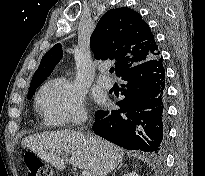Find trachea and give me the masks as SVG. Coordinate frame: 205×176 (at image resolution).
Segmentation results:
<instances>
[{
  "instance_id": "obj_1",
  "label": "trachea",
  "mask_w": 205,
  "mask_h": 176,
  "mask_svg": "<svg viewBox=\"0 0 205 176\" xmlns=\"http://www.w3.org/2000/svg\"><path fill=\"white\" fill-rule=\"evenodd\" d=\"M114 70H115L114 67H111V68H110V73H113Z\"/></svg>"
}]
</instances>
